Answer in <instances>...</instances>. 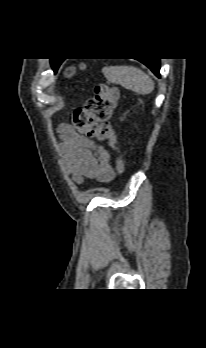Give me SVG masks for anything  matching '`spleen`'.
Instances as JSON below:
<instances>
[{"instance_id":"3e777b00","label":"spleen","mask_w":206,"mask_h":348,"mask_svg":"<svg viewBox=\"0 0 206 348\" xmlns=\"http://www.w3.org/2000/svg\"><path fill=\"white\" fill-rule=\"evenodd\" d=\"M103 73L106 79L121 85L139 95H148L154 90V81L141 69L134 66L105 67Z\"/></svg>"}]
</instances>
